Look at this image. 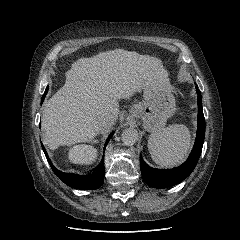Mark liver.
Returning <instances> with one entry per match:
<instances>
[{
	"instance_id": "6515ba94",
	"label": "liver",
	"mask_w": 240,
	"mask_h": 240,
	"mask_svg": "<svg viewBox=\"0 0 240 240\" xmlns=\"http://www.w3.org/2000/svg\"><path fill=\"white\" fill-rule=\"evenodd\" d=\"M65 76L64 86L43 107V143L51 150L90 142L114 124L119 99L139 92L147 82H168L161 60L123 49L80 58ZM104 115L110 122L100 131L98 122Z\"/></svg>"
}]
</instances>
